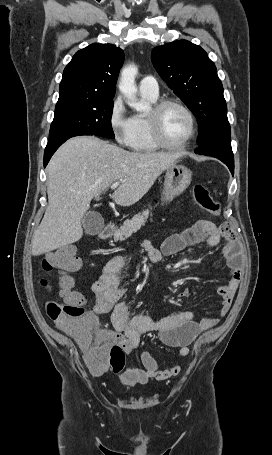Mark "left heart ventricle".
Listing matches in <instances>:
<instances>
[{"label": "left heart ventricle", "instance_id": "1", "mask_svg": "<svg viewBox=\"0 0 272 455\" xmlns=\"http://www.w3.org/2000/svg\"><path fill=\"white\" fill-rule=\"evenodd\" d=\"M189 130V119L179 107L169 106L163 111L161 116V131L168 143H181L187 138Z\"/></svg>", "mask_w": 272, "mask_h": 455}]
</instances>
